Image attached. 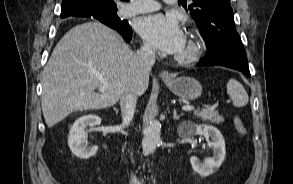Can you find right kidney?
I'll use <instances>...</instances> for the list:
<instances>
[{"label":"right kidney","mask_w":293,"mask_h":184,"mask_svg":"<svg viewBox=\"0 0 293 184\" xmlns=\"http://www.w3.org/2000/svg\"><path fill=\"white\" fill-rule=\"evenodd\" d=\"M100 123L101 118L93 114L84 115L74 122L69 132L68 145L76 157L89 159L96 154L98 150L97 146L87 147L85 128L87 126L93 127Z\"/></svg>","instance_id":"1"}]
</instances>
